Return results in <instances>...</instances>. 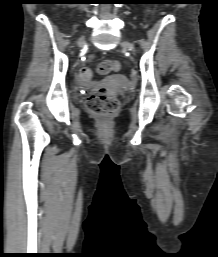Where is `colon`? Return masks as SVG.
I'll return each mask as SVG.
<instances>
[{
	"instance_id": "5ec220e1",
	"label": "colon",
	"mask_w": 218,
	"mask_h": 257,
	"mask_svg": "<svg viewBox=\"0 0 218 257\" xmlns=\"http://www.w3.org/2000/svg\"><path fill=\"white\" fill-rule=\"evenodd\" d=\"M161 7H170V2H161ZM160 13H165V8H160ZM122 65L121 61L112 59L101 62L97 68L99 74L115 75L116 71L120 69ZM95 70H91L90 67L78 68L77 81L78 85L84 87H97L98 83ZM137 78L135 73H132L131 79L135 81ZM86 106L88 111L103 122H108L112 116H114L120 107V103L115 92L100 88L93 92L87 99Z\"/></svg>"
}]
</instances>
